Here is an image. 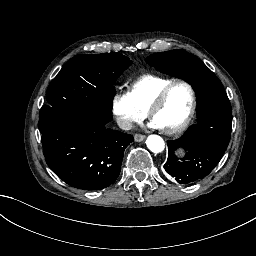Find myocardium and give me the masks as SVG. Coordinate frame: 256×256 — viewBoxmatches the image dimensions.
I'll use <instances>...</instances> for the list:
<instances>
[{"label": "myocardium", "instance_id": "obj_1", "mask_svg": "<svg viewBox=\"0 0 256 256\" xmlns=\"http://www.w3.org/2000/svg\"><path fill=\"white\" fill-rule=\"evenodd\" d=\"M179 83L185 85L189 89V92L191 95V108H190L188 115L184 119V121L181 124H179L178 126H176L175 128H173L171 131L167 132V135H173V134L183 131L189 125L190 121L194 117L197 102H196L195 91H194L192 85L184 78H181V77L176 78L174 81H172V83H170L168 86H166L158 94L156 99H154L145 109L147 116L152 117V112L162 105V103L167 98L171 88Z\"/></svg>", "mask_w": 256, "mask_h": 256}]
</instances>
